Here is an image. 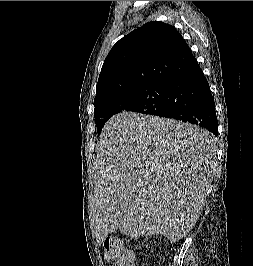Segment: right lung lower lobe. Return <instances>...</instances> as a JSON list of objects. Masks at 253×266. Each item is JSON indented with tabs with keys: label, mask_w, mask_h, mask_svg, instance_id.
<instances>
[{
	"label": "right lung lower lobe",
	"mask_w": 253,
	"mask_h": 266,
	"mask_svg": "<svg viewBox=\"0 0 253 266\" xmlns=\"http://www.w3.org/2000/svg\"><path fill=\"white\" fill-rule=\"evenodd\" d=\"M157 116L190 122L217 136L214 99L198 62L170 81L164 108Z\"/></svg>",
	"instance_id": "right-lung-lower-lobe-1"
}]
</instances>
